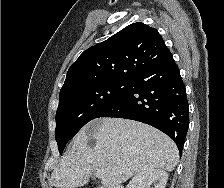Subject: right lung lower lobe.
Here are the masks:
<instances>
[{
	"instance_id": "right-lung-lower-lobe-1",
	"label": "right lung lower lobe",
	"mask_w": 224,
	"mask_h": 188,
	"mask_svg": "<svg viewBox=\"0 0 224 188\" xmlns=\"http://www.w3.org/2000/svg\"><path fill=\"white\" fill-rule=\"evenodd\" d=\"M102 117L149 124L172 138L181 154L189 127V109L173 56L136 75L125 98Z\"/></svg>"
}]
</instances>
